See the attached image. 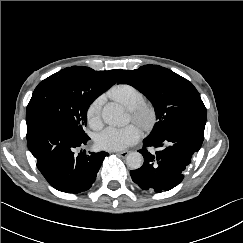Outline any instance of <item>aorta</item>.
<instances>
[{"instance_id":"obj_1","label":"aorta","mask_w":243,"mask_h":243,"mask_svg":"<svg viewBox=\"0 0 243 243\" xmlns=\"http://www.w3.org/2000/svg\"><path fill=\"white\" fill-rule=\"evenodd\" d=\"M102 119L109 125L123 126L128 118L124 109L116 103H108L102 110ZM126 164L133 170L139 169L143 164V156L139 152H131L126 157Z\"/></svg>"}]
</instances>
